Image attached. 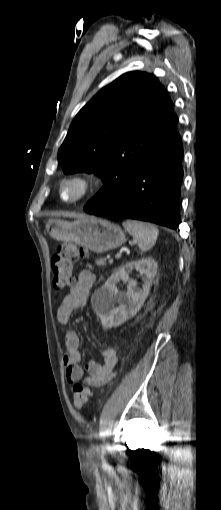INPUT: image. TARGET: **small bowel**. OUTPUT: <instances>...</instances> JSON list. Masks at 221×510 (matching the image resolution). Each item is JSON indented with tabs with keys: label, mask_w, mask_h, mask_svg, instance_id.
<instances>
[{
	"label": "small bowel",
	"mask_w": 221,
	"mask_h": 510,
	"mask_svg": "<svg viewBox=\"0 0 221 510\" xmlns=\"http://www.w3.org/2000/svg\"><path fill=\"white\" fill-rule=\"evenodd\" d=\"M95 282V275L89 269H84L78 274L77 281L71 286L63 298L58 310L57 319L59 323L67 324L74 311L84 306L89 292ZM80 336L70 330L65 335L66 354L64 364L66 367V378L69 382H75L83 376L81 367ZM102 363L89 360L86 364V382L92 386H101L108 382L114 375L117 364V354L113 348H106L102 352Z\"/></svg>",
	"instance_id": "small-bowel-1"
}]
</instances>
